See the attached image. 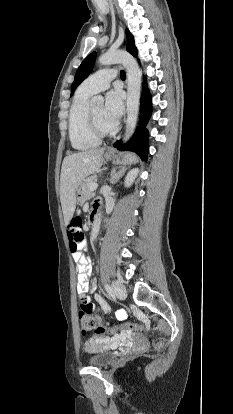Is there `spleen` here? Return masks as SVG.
<instances>
[{"label":"spleen","mask_w":233,"mask_h":414,"mask_svg":"<svg viewBox=\"0 0 233 414\" xmlns=\"http://www.w3.org/2000/svg\"><path fill=\"white\" fill-rule=\"evenodd\" d=\"M128 155H132V154H128ZM132 156H133V162H136L137 161L136 157L134 155Z\"/></svg>","instance_id":"spleen-1"}]
</instances>
